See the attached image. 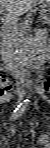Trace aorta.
<instances>
[{
	"instance_id": "762f6f07",
	"label": "aorta",
	"mask_w": 50,
	"mask_h": 148,
	"mask_svg": "<svg viewBox=\"0 0 50 148\" xmlns=\"http://www.w3.org/2000/svg\"><path fill=\"white\" fill-rule=\"evenodd\" d=\"M33 88V81H30L29 83V90H31Z\"/></svg>"
}]
</instances>
